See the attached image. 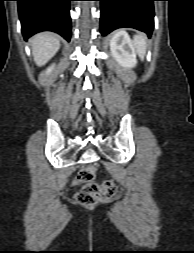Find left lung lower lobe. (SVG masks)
I'll list each match as a JSON object with an SVG mask.
<instances>
[{
	"label": "left lung lower lobe",
	"mask_w": 194,
	"mask_h": 253,
	"mask_svg": "<svg viewBox=\"0 0 194 253\" xmlns=\"http://www.w3.org/2000/svg\"><path fill=\"white\" fill-rule=\"evenodd\" d=\"M101 1L100 33L105 36L122 28H135L151 36L154 28L153 2L158 0Z\"/></svg>",
	"instance_id": "left-lung-lower-lobe-1"
}]
</instances>
